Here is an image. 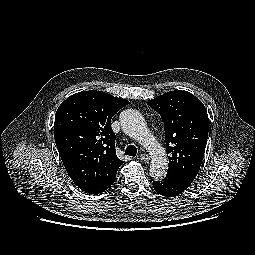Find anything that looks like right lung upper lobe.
I'll use <instances>...</instances> for the list:
<instances>
[{"label":"right lung upper lobe","mask_w":255,"mask_h":255,"mask_svg":"<svg viewBox=\"0 0 255 255\" xmlns=\"http://www.w3.org/2000/svg\"><path fill=\"white\" fill-rule=\"evenodd\" d=\"M129 102L96 90L71 95L59 106L54 138L68 175L80 189L116 177L123 161L115 152L111 119Z\"/></svg>","instance_id":"1"}]
</instances>
